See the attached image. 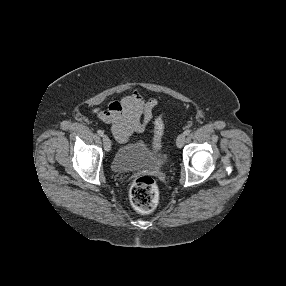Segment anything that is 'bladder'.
Segmentation results:
<instances>
[{"label":"bladder","instance_id":"1","mask_svg":"<svg viewBox=\"0 0 286 286\" xmlns=\"http://www.w3.org/2000/svg\"><path fill=\"white\" fill-rule=\"evenodd\" d=\"M167 156L161 149L149 151L145 140L139 139L120 145L115 151L111 168L115 173H128L142 168H159L165 164Z\"/></svg>","mask_w":286,"mask_h":286}]
</instances>
